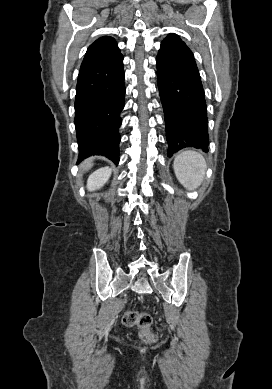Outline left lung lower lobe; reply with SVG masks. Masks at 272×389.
I'll list each match as a JSON object with an SVG mask.
<instances>
[{"mask_svg":"<svg viewBox=\"0 0 272 389\" xmlns=\"http://www.w3.org/2000/svg\"><path fill=\"white\" fill-rule=\"evenodd\" d=\"M156 62L168 156L185 147L208 152L207 106L194 57L161 46Z\"/></svg>","mask_w":272,"mask_h":389,"instance_id":"0a47b994","label":"left lung lower lobe"}]
</instances>
